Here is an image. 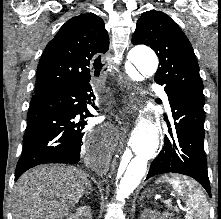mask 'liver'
Returning <instances> with one entry per match:
<instances>
[{
	"mask_svg": "<svg viewBox=\"0 0 221 219\" xmlns=\"http://www.w3.org/2000/svg\"><path fill=\"white\" fill-rule=\"evenodd\" d=\"M86 173L73 166H37L13 190V219H63L86 193Z\"/></svg>",
	"mask_w": 221,
	"mask_h": 219,
	"instance_id": "1",
	"label": "liver"
}]
</instances>
